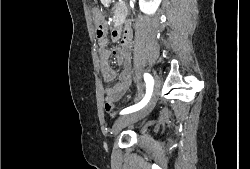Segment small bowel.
Listing matches in <instances>:
<instances>
[{"label": "small bowel", "mask_w": 250, "mask_h": 169, "mask_svg": "<svg viewBox=\"0 0 250 169\" xmlns=\"http://www.w3.org/2000/svg\"><path fill=\"white\" fill-rule=\"evenodd\" d=\"M115 18L118 21L122 20L123 14L119 10H116ZM99 42L101 45V48L99 49V64L104 82L108 84L112 83L116 77V72L110 64L111 57H114L117 63L121 66V72L119 74L118 81L105 90V95H118V100H120L128 90L131 83L130 34L126 29L120 46L115 49L108 48L104 38H100Z\"/></svg>", "instance_id": "obj_1"}]
</instances>
